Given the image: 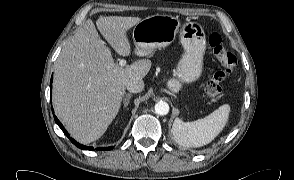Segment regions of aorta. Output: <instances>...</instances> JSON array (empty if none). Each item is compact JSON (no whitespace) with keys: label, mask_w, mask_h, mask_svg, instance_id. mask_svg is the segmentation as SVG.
<instances>
[{"label":"aorta","mask_w":294,"mask_h":180,"mask_svg":"<svg viewBox=\"0 0 294 180\" xmlns=\"http://www.w3.org/2000/svg\"><path fill=\"white\" fill-rule=\"evenodd\" d=\"M169 112V105L167 102L159 101L155 104V113L158 115H167Z\"/></svg>","instance_id":"aorta-1"}]
</instances>
